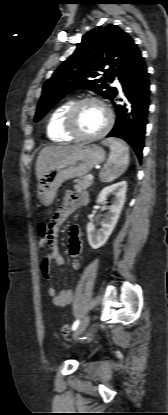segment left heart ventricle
<instances>
[{"instance_id":"b2bd125f","label":"left heart ventricle","mask_w":168,"mask_h":415,"mask_svg":"<svg viewBox=\"0 0 168 415\" xmlns=\"http://www.w3.org/2000/svg\"><path fill=\"white\" fill-rule=\"evenodd\" d=\"M107 115L105 110L96 103H87L80 107L76 114L77 130L83 135H93L103 129Z\"/></svg>"}]
</instances>
